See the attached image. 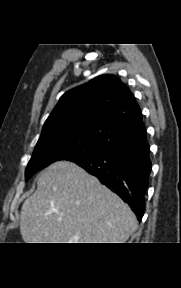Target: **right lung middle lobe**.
Here are the masks:
<instances>
[{
	"label": "right lung middle lobe",
	"instance_id": "dd1d6c3e",
	"mask_svg": "<svg viewBox=\"0 0 181 288\" xmlns=\"http://www.w3.org/2000/svg\"><path fill=\"white\" fill-rule=\"evenodd\" d=\"M107 150L103 145L84 137L45 139L37 142L33 155L25 170L26 181L38 170L59 160L71 161L100 154Z\"/></svg>",
	"mask_w": 181,
	"mask_h": 288
}]
</instances>
